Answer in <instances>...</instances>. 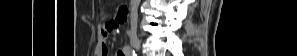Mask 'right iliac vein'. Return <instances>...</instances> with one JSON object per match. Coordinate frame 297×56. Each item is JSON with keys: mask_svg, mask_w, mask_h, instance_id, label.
<instances>
[{"mask_svg": "<svg viewBox=\"0 0 297 56\" xmlns=\"http://www.w3.org/2000/svg\"><path fill=\"white\" fill-rule=\"evenodd\" d=\"M130 43L137 50H139L140 47H141V42H140V40L138 39L137 36H132L131 39H130Z\"/></svg>", "mask_w": 297, "mask_h": 56, "instance_id": "63e3f726", "label": "right iliac vein"}]
</instances>
